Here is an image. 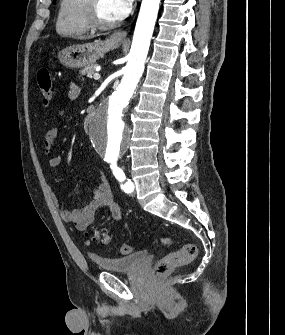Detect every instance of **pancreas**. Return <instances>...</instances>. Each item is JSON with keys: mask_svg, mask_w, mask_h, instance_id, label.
I'll use <instances>...</instances> for the list:
<instances>
[{"mask_svg": "<svg viewBox=\"0 0 285 335\" xmlns=\"http://www.w3.org/2000/svg\"><path fill=\"white\" fill-rule=\"evenodd\" d=\"M98 64H90V66H84L83 70H81L83 81H90V74H94L96 72Z\"/></svg>", "mask_w": 285, "mask_h": 335, "instance_id": "cf45deb5", "label": "pancreas"}]
</instances>
